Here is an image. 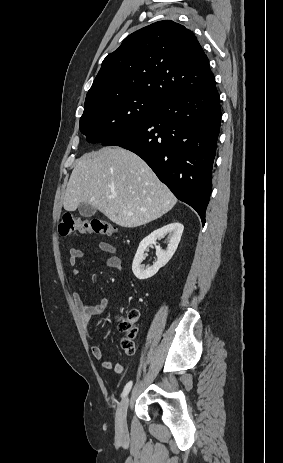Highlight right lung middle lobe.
<instances>
[{"instance_id": "dd1d6c3e", "label": "right lung middle lobe", "mask_w": 283, "mask_h": 463, "mask_svg": "<svg viewBox=\"0 0 283 463\" xmlns=\"http://www.w3.org/2000/svg\"><path fill=\"white\" fill-rule=\"evenodd\" d=\"M159 102L145 96L120 93L85 103L80 131L88 142L103 143L146 120Z\"/></svg>"}]
</instances>
